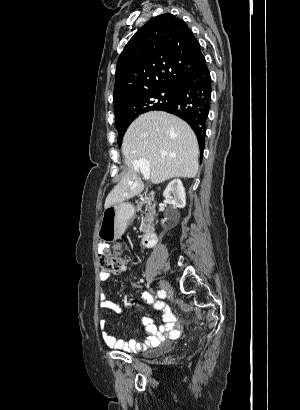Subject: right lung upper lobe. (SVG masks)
<instances>
[{"mask_svg": "<svg viewBox=\"0 0 300 410\" xmlns=\"http://www.w3.org/2000/svg\"><path fill=\"white\" fill-rule=\"evenodd\" d=\"M204 59L187 24L172 14L153 18L139 29L121 53L115 74L116 120L138 112L140 96L176 89L180 80Z\"/></svg>", "mask_w": 300, "mask_h": 410, "instance_id": "right-lung-upper-lobe-1", "label": "right lung upper lobe"}]
</instances>
